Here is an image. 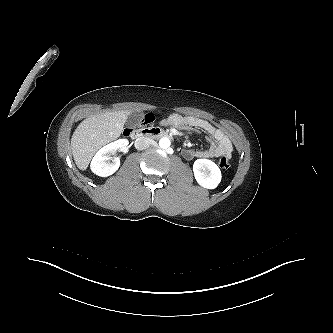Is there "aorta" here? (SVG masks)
Returning a JSON list of instances; mask_svg holds the SVG:
<instances>
[{
  "mask_svg": "<svg viewBox=\"0 0 333 333\" xmlns=\"http://www.w3.org/2000/svg\"><path fill=\"white\" fill-rule=\"evenodd\" d=\"M170 145H171V142L167 137H163L159 140V146L162 149H166V148L170 147Z\"/></svg>",
  "mask_w": 333,
  "mask_h": 333,
  "instance_id": "obj_1",
  "label": "aorta"
}]
</instances>
